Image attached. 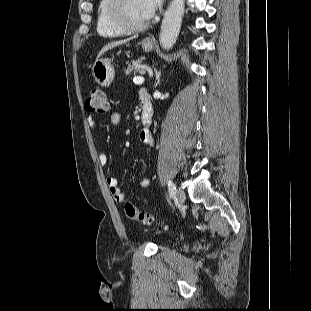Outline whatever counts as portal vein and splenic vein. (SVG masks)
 <instances>
[{
	"label": "portal vein and splenic vein",
	"instance_id": "18ae733b",
	"mask_svg": "<svg viewBox=\"0 0 311 311\" xmlns=\"http://www.w3.org/2000/svg\"><path fill=\"white\" fill-rule=\"evenodd\" d=\"M144 77H142V76H137V77H134L133 78V82H134V84H136V85H141V84H143L144 83Z\"/></svg>",
	"mask_w": 311,
	"mask_h": 311
}]
</instances>
